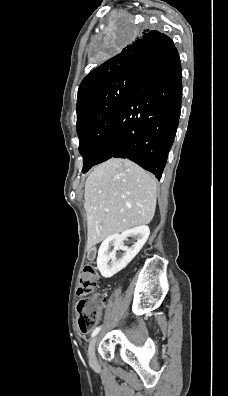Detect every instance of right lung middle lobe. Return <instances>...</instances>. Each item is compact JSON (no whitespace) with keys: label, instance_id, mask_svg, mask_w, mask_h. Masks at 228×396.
<instances>
[{"label":"right lung middle lobe","instance_id":"dd1d6c3e","mask_svg":"<svg viewBox=\"0 0 228 396\" xmlns=\"http://www.w3.org/2000/svg\"><path fill=\"white\" fill-rule=\"evenodd\" d=\"M117 41V40H116ZM138 71L117 76L94 90L77 110L79 151L82 172L96 165L105 147L116 116L125 102Z\"/></svg>","mask_w":228,"mask_h":396}]
</instances>
